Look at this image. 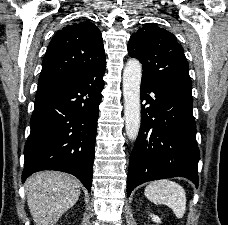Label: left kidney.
<instances>
[{
    "mask_svg": "<svg viewBox=\"0 0 228 225\" xmlns=\"http://www.w3.org/2000/svg\"><path fill=\"white\" fill-rule=\"evenodd\" d=\"M150 217H152V221H154V223H160V219L159 217H156V215H150Z\"/></svg>",
    "mask_w": 228,
    "mask_h": 225,
    "instance_id": "1",
    "label": "left kidney"
}]
</instances>
